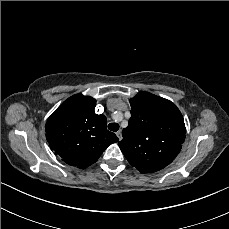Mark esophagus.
I'll list each match as a JSON object with an SVG mask.
<instances>
[{
  "instance_id": "esophagus-1",
  "label": "esophagus",
  "mask_w": 229,
  "mask_h": 229,
  "mask_svg": "<svg viewBox=\"0 0 229 229\" xmlns=\"http://www.w3.org/2000/svg\"><path fill=\"white\" fill-rule=\"evenodd\" d=\"M116 136L119 138V140H122L123 137H122L121 130L116 132Z\"/></svg>"
}]
</instances>
